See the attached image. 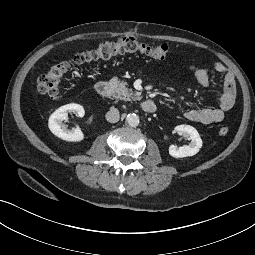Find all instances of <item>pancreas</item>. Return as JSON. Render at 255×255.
I'll return each mask as SVG.
<instances>
[{
    "label": "pancreas",
    "mask_w": 255,
    "mask_h": 255,
    "mask_svg": "<svg viewBox=\"0 0 255 255\" xmlns=\"http://www.w3.org/2000/svg\"><path fill=\"white\" fill-rule=\"evenodd\" d=\"M110 85L113 87L114 97L124 101L140 100L139 92H133L132 89L127 88V82L120 81L117 77L110 80Z\"/></svg>",
    "instance_id": "cf45deb5"
}]
</instances>
